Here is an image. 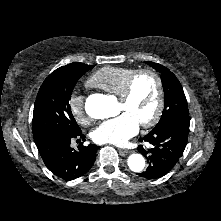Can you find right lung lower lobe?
<instances>
[{
    "mask_svg": "<svg viewBox=\"0 0 221 221\" xmlns=\"http://www.w3.org/2000/svg\"><path fill=\"white\" fill-rule=\"evenodd\" d=\"M73 138L85 136L81 130L76 134H48L35 140L38 151L46 167L56 176L69 181L84 175L94 164L96 145L70 147Z\"/></svg>",
    "mask_w": 221,
    "mask_h": 221,
    "instance_id": "1",
    "label": "right lung lower lobe"
}]
</instances>
